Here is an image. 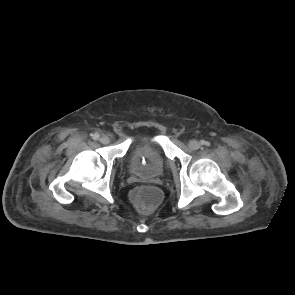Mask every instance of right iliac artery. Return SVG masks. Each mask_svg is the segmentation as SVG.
<instances>
[{"label": "right iliac artery", "instance_id": "82829eb1", "mask_svg": "<svg viewBox=\"0 0 295 295\" xmlns=\"http://www.w3.org/2000/svg\"><path fill=\"white\" fill-rule=\"evenodd\" d=\"M92 138L94 140H98L99 139V134L98 133L92 134Z\"/></svg>", "mask_w": 295, "mask_h": 295}]
</instances>
